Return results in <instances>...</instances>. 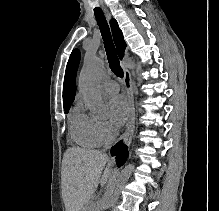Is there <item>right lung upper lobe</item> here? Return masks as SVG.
<instances>
[{"mask_svg": "<svg viewBox=\"0 0 219 211\" xmlns=\"http://www.w3.org/2000/svg\"><path fill=\"white\" fill-rule=\"evenodd\" d=\"M110 25L112 29L114 42L118 51V56L120 59H122L126 48V43L123 39V34L119 29L118 23L115 19H111ZM79 61L80 52L79 50L75 49L70 55L65 71L63 86V105L72 104V102L74 101L76 91L75 79Z\"/></svg>", "mask_w": 219, "mask_h": 211, "instance_id": "right-lung-upper-lobe-1", "label": "right lung upper lobe"}]
</instances>
